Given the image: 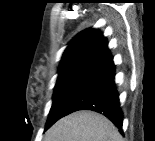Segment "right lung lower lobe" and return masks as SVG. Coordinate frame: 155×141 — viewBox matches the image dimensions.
<instances>
[{"label":"right lung lower lobe","instance_id":"right-lung-lower-lobe-1","mask_svg":"<svg viewBox=\"0 0 155 141\" xmlns=\"http://www.w3.org/2000/svg\"><path fill=\"white\" fill-rule=\"evenodd\" d=\"M114 78L110 56L62 107L60 118L75 111L92 110L106 116L122 133L123 114Z\"/></svg>","mask_w":155,"mask_h":141}]
</instances>
